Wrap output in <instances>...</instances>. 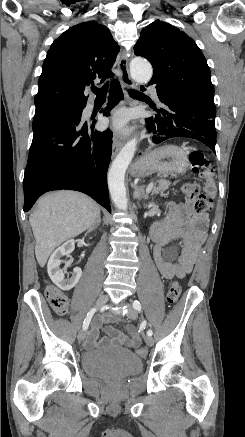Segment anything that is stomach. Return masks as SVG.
Wrapping results in <instances>:
<instances>
[{"label":"stomach","mask_w":245,"mask_h":437,"mask_svg":"<svg viewBox=\"0 0 245 437\" xmlns=\"http://www.w3.org/2000/svg\"><path fill=\"white\" fill-rule=\"evenodd\" d=\"M189 166L186 152L175 145H164L145 154L132 167L131 175L145 177L158 172L161 174H183Z\"/></svg>","instance_id":"1"}]
</instances>
